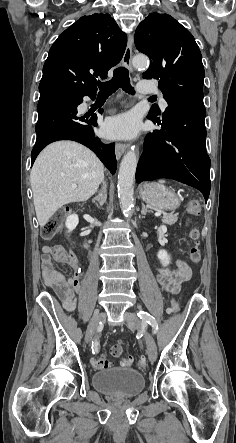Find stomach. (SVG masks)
I'll use <instances>...</instances> for the list:
<instances>
[{
    "mask_svg": "<svg viewBox=\"0 0 236 443\" xmlns=\"http://www.w3.org/2000/svg\"><path fill=\"white\" fill-rule=\"evenodd\" d=\"M140 196L145 203L158 210H174L180 205L178 196L172 190L156 182L142 185Z\"/></svg>",
    "mask_w": 236,
    "mask_h": 443,
    "instance_id": "0dacf381",
    "label": "stomach"
}]
</instances>
